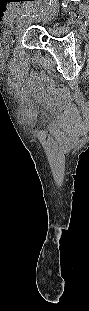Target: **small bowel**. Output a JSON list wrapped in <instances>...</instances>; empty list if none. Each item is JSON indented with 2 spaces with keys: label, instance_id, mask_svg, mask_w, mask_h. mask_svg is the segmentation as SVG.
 <instances>
[{
  "label": "small bowel",
  "instance_id": "c3829d8e",
  "mask_svg": "<svg viewBox=\"0 0 89 311\" xmlns=\"http://www.w3.org/2000/svg\"><path fill=\"white\" fill-rule=\"evenodd\" d=\"M16 16V13H11L10 14V19H13Z\"/></svg>",
  "mask_w": 89,
  "mask_h": 311
}]
</instances>
